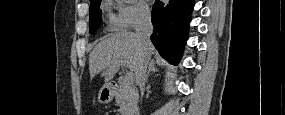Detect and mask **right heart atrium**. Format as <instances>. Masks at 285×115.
<instances>
[{
  "label": "right heart atrium",
  "mask_w": 285,
  "mask_h": 115,
  "mask_svg": "<svg viewBox=\"0 0 285 115\" xmlns=\"http://www.w3.org/2000/svg\"><path fill=\"white\" fill-rule=\"evenodd\" d=\"M117 19L121 28L131 29L145 24L150 19V9L144 1L120 2Z\"/></svg>",
  "instance_id": "d8ad5b80"
}]
</instances>
